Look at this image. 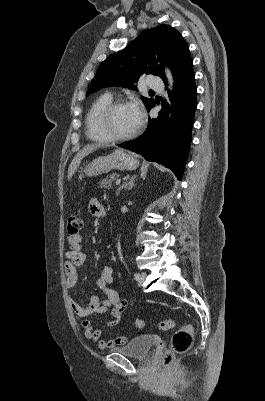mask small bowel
Segmentation results:
<instances>
[{"instance_id": "small-bowel-1", "label": "small bowel", "mask_w": 265, "mask_h": 401, "mask_svg": "<svg viewBox=\"0 0 265 401\" xmlns=\"http://www.w3.org/2000/svg\"><path fill=\"white\" fill-rule=\"evenodd\" d=\"M89 211L95 217H103L105 215V209L98 199H92L89 202ZM68 247L64 271L67 288H73L78 282V268L85 263L87 255L82 247V237L79 234L69 236ZM112 281L113 268L105 266L96 281L98 288L105 294L104 299L93 295L85 304H79L72 298H69V304L73 312L77 317L83 319L81 327L85 338L96 342L101 349H112L127 342L125 336H117L109 340L102 339L101 331L86 319L92 314H105L107 311H110L112 318L107 322V325L112 327L118 323L127 307V302L120 299L119 294L110 287Z\"/></svg>"}]
</instances>
